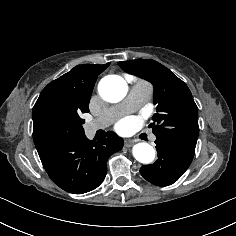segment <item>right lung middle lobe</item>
Returning a JSON list of instances; mask_svg holds the SVG:
<instances>
[{
	"label": "right lung middle lobe",
	"mask_w": 236,
	"mask_h": 236,
	"mask_svg": "<svg viewBox=\"0 0 236 236\" xmlns=\"http://www.w3.org/2000/svg\"><path fill=\"white\" fill-rule=\"evenodd\" d=\"M86 112H89L88 108L81 111L44 113L39 122L33 126L35 145L83 134L82 124L85 123V119L81 114Z\"/></svg>",
	"instance_id": "obj_1"
}]
</instances>
